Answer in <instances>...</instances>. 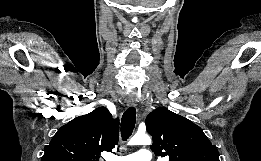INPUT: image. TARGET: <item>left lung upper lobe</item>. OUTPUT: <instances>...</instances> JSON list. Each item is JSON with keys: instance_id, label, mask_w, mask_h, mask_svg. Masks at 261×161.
<instances>
[{"instance_id": "5c2ea615", "label": "left lung upper lobe", "mask_w": 261, "mask_h": 161, "mask_svg": "<svg viewBox=\"0 0 261 161\" xmlns=\"http://www.w3.org/2000/svg\"><path fill=\"white\" fill-rule=\"evenodd\" d=\"M146 128L153 137L150 146L156 156L169 161H219V153L202 129L167 108H158L146 118Z\"/></svg>"}]
</instances>
